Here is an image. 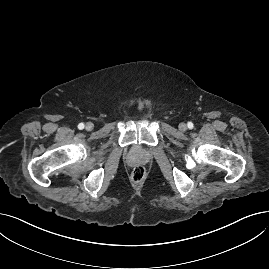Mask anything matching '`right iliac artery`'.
I'll list each match as a JSON object with an SVG mask.
<instances>
[{
	"instance_id": "82829eb1",
	"label": "right iliac artery",
	"mask_w": 269,
	"mask_h": 269,
	"mask_svg": "<svg viewBox=\"0 0 269 269\" xmlns=\"http://www.w3.org/2000/svg\"><path fill=\"white\" fill-rule=\"evenodd\" d=\"M78 129H80V130L84 129V124H83V123H80V124L78 125Z\"/></svg>"
}]
</instances>
